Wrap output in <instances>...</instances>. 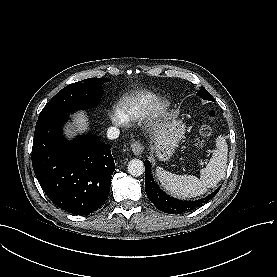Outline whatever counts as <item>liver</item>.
<instances>
[{
  "instance_id": "liver-1",
  "label": "liver",
  "mask_w": 277,
  "mask_h": 277,
  "mask_svg": "<svg viewBox=\"0 0 277 277\" xmlns=\"http://www.w3.org/2000/svg\"><path fill=\"white\" fill-rule=\"evenodd\" d=\"M74 126L76 127L75 131L82 132L87 128V118L84 113L80 112L76 115L74 120ZM75 131H73L70 127H67L65 133L67 136L71 137Z\"/></svg>"
}]
</instances>
